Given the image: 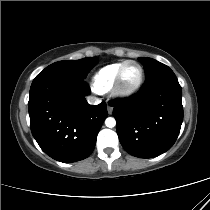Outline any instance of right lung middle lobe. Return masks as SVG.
<instances>
[{"label": "right lung middle lobe", "instance_id": "dd1d6c3e", "mask_svg": "<svg viewBox=\"0 0 210 210\" xmlns=\"http://www.w3.org/2000/svg\"><path fill=\"white\" fill-rule=\"evenodd\" d=\"M98 63V58L88 57L80 60H65L55 62L36 77H44L49 75L71 76L85 79L89 71Z\"/></svg>", "mask_w": 210, "mask_h": 210}]
</instances>
